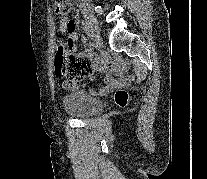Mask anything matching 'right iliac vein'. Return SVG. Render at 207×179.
<instances>
[{
  "instance_id": "1",
  "label": "right iliac vein",
  "mask_w": 207,
  "mask_h": 179,
  "mask_svg": "<svg viewBox=\"0 0 207 179\" xmlns=\"http://www.w3.org/2000/svg\"><path fill=\"white\" fill-rule=\"evenodd\" d=\"M83 17L93 33L100 37V28L97 18L91 12H83Z\"/></svg>"
}]
</instances>
